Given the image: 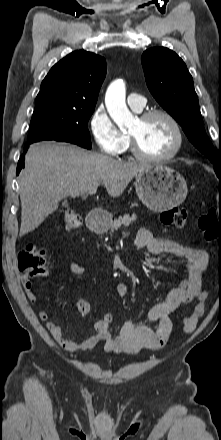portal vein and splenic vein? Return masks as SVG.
<instances>
[{"label": "portal vein and splenic vein", "mask_w": 221, "mask_h": 440, "mask_svg": "<svg viewBox=\"0 0 221 440\" xmlns=\"http://www.w3.org/2000/svg\"><path fill=\"white\" fill-rule=\"evenodd\" d=\"M96 191H97V189H91V190L89 191V194H95Z\"/></svg>", "instance_id": "1"}]
</instances>
